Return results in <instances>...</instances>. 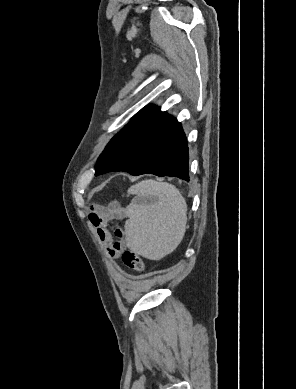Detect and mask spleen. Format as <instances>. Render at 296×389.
<instances>
[{"mask_svg":"<svg viewBox=\"0 0 296 389\" xmlns=\"http://www.w3.org/2000/svg\"><path fill=\"white\" fill-rule=\"evenodd\" d=\"M128 193L136 197L127 207V246L150 260L173 252L186 231L187 205L180 191L169 183L148 179L131 186Z\"/></svg>","mask_w":296,"mask_h":389,"instance_id":"1","label":"spleen"}]
</instances>
